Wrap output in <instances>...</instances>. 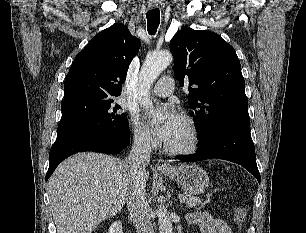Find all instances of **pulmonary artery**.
<instances>
[{"label":"pulmonary artery","mask_w":306,"mask_h":233,"mask_svg":"<svg viewBox=\"0 0 306 233\" xmlns=\"http://www.w3.org/2000/svg\"><path fill=\"white\" fill-rule=\"evenodd\" d=\"M174 89V79L170 76L160 78L159 82L151 89V93L158 97L169 96Z\"/></svg>","instance_id":"1"}]
</instances>
